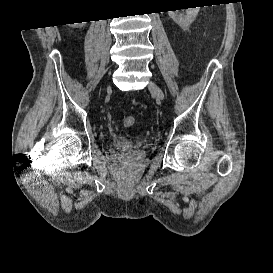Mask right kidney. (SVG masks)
<instances>
[{
  "label": "right kidney",
  "instance_id": "1",
  "mask_svg": "<svg viewBox=\"0 0 273 273\" xmlns=\"http://www.w3.org/2000/svg\"><path fill=\"white\" fill-rule=\"evenodd\" d=\"M85 24V22L82 23H75V25H79V27H82Z\"/></svg>",
  "mask_w": 273,
  "mask_h": 273
}]
</instances>
